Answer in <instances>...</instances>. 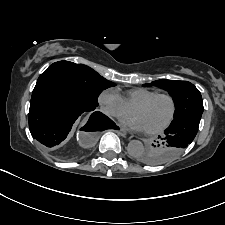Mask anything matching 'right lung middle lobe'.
Wrapping results in <instances>:
<instances>
[{
	"instance_id": "obj_1",
	"label": "right lung middle lobe",
	"mask_w": 225,
	"mask_h": 225,
	"mask_svg": "<svg viewBox=\"0 0 225 225\" xmlns=\"http://www.w3.org/2000/svg\"><path fill=\"white\" fill-rule=\"evenodd\" d=\"M41 75H56L76 86L94 105H98L99 94L114 83L100 76L96 71L83 64L59 61L51 64Z\"/></svg>"
}]
</instances>
